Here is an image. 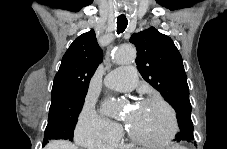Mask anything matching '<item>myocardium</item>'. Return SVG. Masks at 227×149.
<instances>
[{
  "mask_svg": "<svg viewBox=\"0 0 227 149\" xmlns=\"http://www.w3.org/2000/svg\"><path fill=\"white\" fill-rule=\"evenodd\" d=\"M143 103H158V104H161L162 106H164L168 110L170 117H171V123H172L171 131L163 139L150 140V139H145V138L137 135L129 126L127 128V132H128L129 137L137 145L153 146V147L154 146H167V145H169L173 141L175 136L177 135L178 129H179L178 119H177V114H176L175 109L166 100H164L161 97H157V96H150V97L143 98L142 100H140V104H143Z\"/></svg>",
  "mask_w": 227,
  "mask_h": 149,
  "instance_id": "myocardium-1",
  "label": "myocardium"
}]
</instances>
